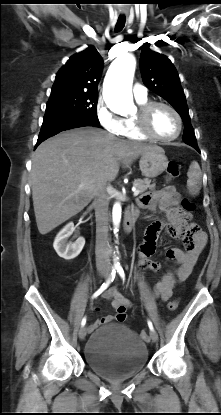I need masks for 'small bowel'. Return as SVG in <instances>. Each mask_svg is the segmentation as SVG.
Returning a JSON list of instances; mask_svg holds the SVG:
<instances>
[{
	"mask_svg": "<svg viewBox=\"0 0 221 415\" xmlns=\"http://www.w3.org/2000/svg\"><path fill=\"white\" fill-rule=\"evenodd\" d=\"M179 201L180 195L176 189L167 186L142 195L138 202L139 207L150 211L159 208L165 212L168 221V223L156 221L146 229L144 239L138 248L139 268L153 271L160 269V264L150 258L156 251L159 236L163 231L167 237L181 239L186 248L185 251L179 248L167 251V257L175 261L176 268L164 273L153 289L154 295L163 301H167L172 296L177 284L186 280L206 245V235L200 232L196 225L188 224L191 219L190 210L188 207H182ZM102 297L110 300L115 314L98 318L89 326L91 330L112 320L124 321L126 310L131 306L130 300L125 298L116 287L107 289Z\"/></svg>",
	"mask_w": 221,
	"mask_h": 415,
	"instance_id": "c3829d8e",
	"label": "small bowel"
}]
</instances>
